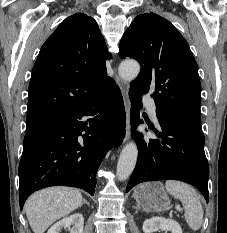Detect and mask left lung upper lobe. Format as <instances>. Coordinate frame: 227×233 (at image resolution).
Wrapping results in <instances>:
<instances>
[{
	"instance_id": "5c2ea615",
	"label": "left lung upper lobe",
	"mask_w": 227,
	"mask_h": 233,
	"mask_svg": "<svg viewBox=\"0 0 227 233\" xmlns=\"http://www.w3.org/2000/svg\"><path fill=\"white\" fill-rule=\"evenodd\" d=\"M119 56L141 64L130 89L153 92L158 110L201 131L198 65L184 37L168 20L154 13L138 15L121 39Z\"/></svg>"
}]
</instances>
